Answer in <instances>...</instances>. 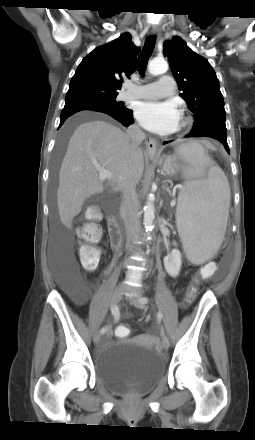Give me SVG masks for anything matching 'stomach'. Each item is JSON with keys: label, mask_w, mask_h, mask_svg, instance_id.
<instances>
[{"label": "stomach", "mask_w": 255, "mask_h": 440, "mask_svg": "<svg viewBox=\"0 0 255 440\" xmlns=\"http://www.w3.org/2000/svg\"><path fill=\"white\" fill-rule=\"evenodd\" d=\"M190 144H186L183 146H187ZM151 159L162 166L164 172L170 176L176 175L182 168L180 158L177 155L167 157H151Z\"/></svg>", "instance_id": "1"}]
</instances>
